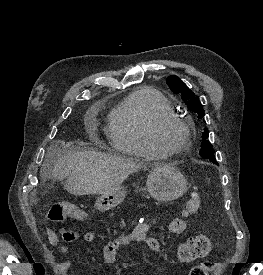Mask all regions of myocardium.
I'll use <instances>...</instances> for the list:
<instances>
[{
    "label": "myocardium",
    "instance_id": "obj_1",
    "mask_svg": "<svg viewBox=\"0 0 263 275\" xmlns=\"http://www.w3.org/2000/svg\"><path fill=\"white\" fill-rule=\"evenodd\" d=\"M168 124H176L184 131L182 141L176 146H166L159 139V131ZM148 138L151 146L161 155H174L183 151L191 142L192 129L190 122L175 113H163L151 124L148 131Z\"/></svg>",
    "mask_w": 263,
    "mask_h": 275
}]
</instances>
